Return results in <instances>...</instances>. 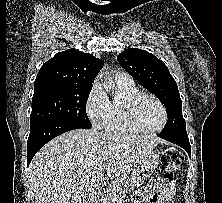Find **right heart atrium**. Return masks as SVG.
<instances>
[{
  "label": "right heart atrium",
  "mask_w": 222,
  "mask_h": 203,
  "mask_svg": "<svg viewBox=\"0 0 222 203\" xmlns=\"http://www.w3.org/2000/svg\"><path fill=\"white\" fill-rule=\"evenodd\" d=\"M86 113L96 128L105 126L110 109V100L99 84L93 85L85 104Z\"/></svg>",
  "instance_id": "right-heart-atrium-1"
}]
</instances>
